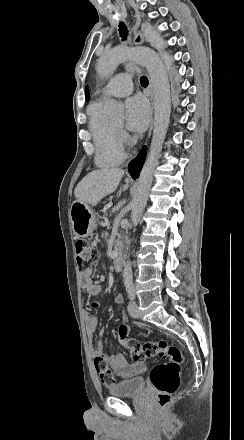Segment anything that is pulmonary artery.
I'll use <instances>...</instances> for the list:
<instances>
[{
    "mask_svg": "<svg viewBox=\"0 0 244 440\" xmlns=\"http://www.w3.org/2000/svg\"><path fill=\"white\" fill-rule=\"evenodd\" d=\"M110 82L111 83L105 84V89L108 90L105 95L114 97H125L129 96L131 94V91L133 90L132 75H111Z\"/></svg>",
    "mask_w": 244,
    "mask_h": 440,
    "instance_id": "e3ab8cb5",
    "label": "pulmonary artery"
}]
</instances>
